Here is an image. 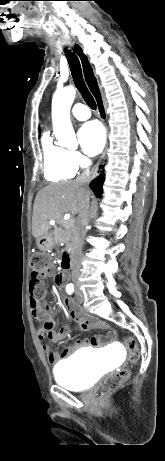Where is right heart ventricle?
I'll list each match as a JSON object with an SVG mask.
<instances>
[{
    "label": "right heart ventricle",
    "mask_w": 165,
    "mask_h": 461,
    "mask_svg": "<svg viewBox=\"0 0 165 461\" xmlns=\"http://www.w3.org/2000/svg\"><path fill=\"white\" fill-rule=\"evenodd\" d=\"M42 151L44 176L48 181L58 182L74 177L76 168L69 159V151L57 145L48 133L42 138Z\"/></svg>",
    "instance_id": "right-heart-ventricle-1"
}]
</instances>
